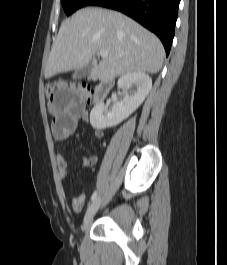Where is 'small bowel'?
<instances>
[{"label":"small bowel","instance_id":"obj_1","mask_svg":"<svg viewBox=\"0 0 227 265\" xmlns=\"http://www.w3.org/2000/svg\"><path fill=\"white\" fill-rule=\"evenodd\" d=\"M84 107H87V99H84V91H79V87H56L49 104V110L53 117L52 133L56 140L68 139L75 133L79 120H89V113ZM94 135L97 139H101L104 137V131L96 128ZM96 162L95 155L85 156L82 160L85 167L94 166ZM56 164L59 178L62 181L66 180L68 177L66 158L63 155H58ZM84 204V194L81 193L73 197L72 208L75 212H81Z\"/></svg>","mask_w":227,"mask_h":265}]
</instances>
